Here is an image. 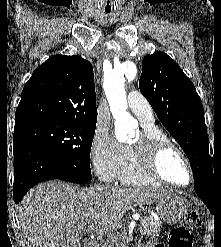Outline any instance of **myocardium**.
Wrapping results in <instances>:
<instances>
[{
    "instance_id": "obj_1",
    "label": "myocardium",
    "mask_w": 221,
    "mask_h": 247,
    "mask_svg": "<svg viewBox=\"0 0 221 247\" xmlns=\"http://www.w3.org/2000/svg\"><path fill=\"white\" fill-rule=\"evenodd\" d=\"M129 147L136 155L143 170L160 184L168 185L174 188H186L193 183L194 172L188 157L178 145L170 141L168 138L153 136L145 131ZM167 152L177 153L184 161L189 173V181L187 184H177L171 182L162 174L159 165L160 159L162 155Z\"/></svg>"
}]
</instances>
